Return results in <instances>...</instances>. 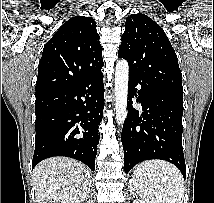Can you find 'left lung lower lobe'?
Segmentation results:
<instances>
[{"mask_svg":"<svg viewBox=\"0 0 214 203\" xmlns=\"http://www.w3.org/2000/svg\"><path fill=\"white\" fill-rule=\"evenodd\" d=\"M138 84L140 90L136 88ZM134 97L142 103V114L132 107ZM128 104L121 134L125 173L142 161L160 159L178 167L185 179L183 93L149 84L129 74Z\"/></svg>","mask_w":214,"mask_h":203,"instance_id":"left-lung-lower-lobe-1","label":"left lung lower lobe"}]
</instances>
